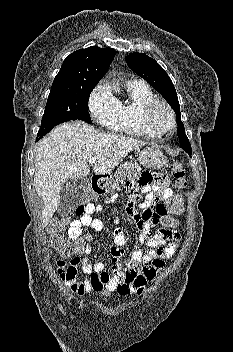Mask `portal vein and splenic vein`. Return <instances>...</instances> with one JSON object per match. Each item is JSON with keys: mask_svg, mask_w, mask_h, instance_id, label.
<instances>
[{"mask_svg": "<svg viewBox=\"0 0 233 352\" xmlns=\"http://www.w3.org/2000/svg\"><path fill=\"white\" fill-rule=\"evenodd\" d=\"M96 160H97L96 157H91V158L89 159V163H90L91 165H93L94 163H96Z\"/></svg>", "mask_w": 233, "mask_h": 352, "instance_id": "18ae733b", "label": "portal vein and splenic vein"}]
</instances>
